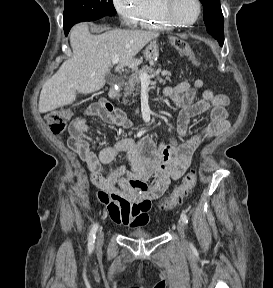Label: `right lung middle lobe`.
Masks as SVG:
<instances>
[{
  "label": "right lung middle lobe",
  "instance_id": "1",
  "mask_svg": "<svg viewBox=\"0 0 273 288\" xmlns=\"http://www.w3.org/2000/svg\"><path fill=\"white\" fill-rule=\"evenodd\" d=\"M116 14L112 0H65L64 29L82 21H93Z\"/></svg>",
  "mask_w": 273,
  "mask_h": 288
}]
</instances>
